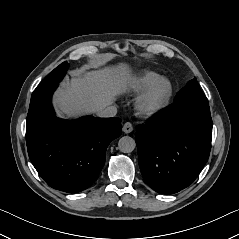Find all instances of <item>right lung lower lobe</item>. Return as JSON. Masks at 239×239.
<instances>
[{
    "instance_id": "1",
    "label": "right lung lower lobe",
    "mask_w": 239,
    "mask_h": 239,
    "mask_svg": "<svg viewBox=\"0 0 239 239\" xmlns=\"http://www.w3.org/2000/svg\"><path fill=\"white\" fill-rule=\"evenodd\" d=\"M57 86L53 84L31 97L26 125L28 155L49 186L76 193L97 180L105 164L106 148L121 135V120L57 118L51 104Z\"/></svg>"
}]
</instances>
